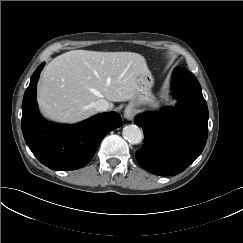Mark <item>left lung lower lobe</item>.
Instances as JSON below:
<instances>
[{
	"label": "left lung lower lobe",
	"instance_id": "left-lung-lower-lobe-1",
	"mask_svg": "<svg viewBox=\"0 0 243 243\" xmlns=\"http://www.w3.org/2000/svg\"><path fill=\"white\" fill-rule=\"evenodd\" d=\"M172 90L178 103L160 113L139 114L135 123L144 132V146L136 153L145 170L161 176L181 173L203 151L208 135V108L201 86L186 69L176 67Z\"/></svg>",
	"mask_w": 243,
	"mask_h": 243
}]
</instances>
